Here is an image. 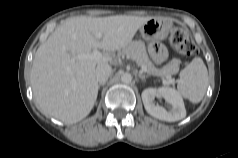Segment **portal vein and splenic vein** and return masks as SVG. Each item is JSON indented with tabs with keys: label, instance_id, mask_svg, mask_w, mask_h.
I'll use <instances>...</instances> for the list:
<instances>
[{
	"label": "portal vein and splenic vein",
	"instance_id": "18ae733b",
	"mask_svg": "<svg viewBox=\"0 0 238 158\" xmlns=\"http://www.w3.org/2000/svg\"><path fill=\"white\" fill-rule=\"evenodd\" d=\"M96 37L98 39H101L102 38V34L101 33H97ZM102 56L103 55L97 49H94L92 53L81 54V55L78 56V58L79 59H87V58H89V59H96V60H98V59L102 58ZM141 71L142 72H146L147 68L145 66H143L141 68Z\"/></svg>",
	"mask_w": 238,
	"mask_h": 158
}]
</instances>
